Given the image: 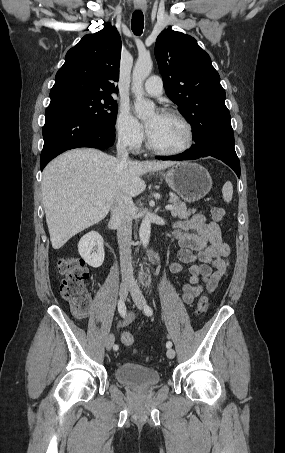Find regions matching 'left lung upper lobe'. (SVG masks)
Listing matches in <instances>:
<instances>
[{
	"label": "left lung upper lobe",
	"instance_id": "5c2ea615",
	"mask_svg": "<svg viewBox=\"0 0 285 453\" xmlns=\"http://www.w3.org/2000/svg\"><path fill=\"white\" fill-rule=\"evenodd\" d=\"M155 57L166 93L192 126L194 140L211 131H233L220 76L193 37L163 30Z\"/></svg>",
	"mask_w": 285,
	"mask_h": 453
}]
</instances>
